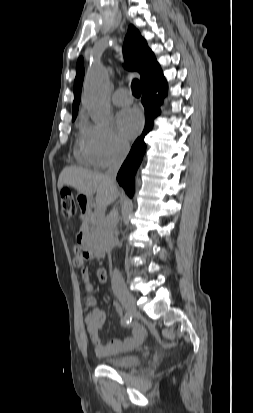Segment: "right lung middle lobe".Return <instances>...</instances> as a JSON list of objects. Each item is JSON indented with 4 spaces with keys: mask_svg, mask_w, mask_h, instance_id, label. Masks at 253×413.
Listing matches in <instances>:
<instances>
[{
    "mask_svg": "<svg viewBox=\"0 0 253 413\" xmlns=\"http://www.w3.org/2000/svg\"><path fill=\"white\" fill-rule=\"evenodd\" d=\"M75 120V117L74 118H72V121H74Z\"/></svg>",
    "mask_w": 253,
    "mask_h": 413,
    "instance_id": "dd1d6c3e",
    "label": "right lung middle lobe"
}]
</instances>
